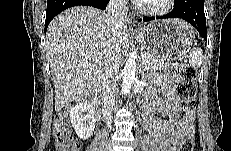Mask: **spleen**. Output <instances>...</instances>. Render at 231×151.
Returning <instances> with one entry per match:
<instances>
[{"mask_svg":"<svg viewBox=\"0 0 231 151\" xmlns=\"http://www.w3.org/2000/svg\"><path fill=\"white\" fill-rule=\"evenodd\" d=\"M203 62V51L198 46L190 48L189 64L192 67H199Z\"/></svg>","mask_w":231,"mask_h":151,"instance_id":"spleen-1","label":"spleen"}]
</instances>
